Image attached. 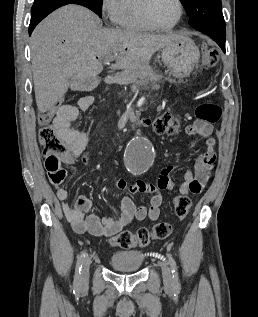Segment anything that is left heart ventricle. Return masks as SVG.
I'll use <instances>...</instances> for the list:
<instances>
[{"label": "left heart ventricle", "instance_id": "b2bd125f", "mask_svg": "<svg viewBox=\"0 0 258 317\" xmlns=\"http://www.w3.org/2000/svg\"><path fill=\"white\" fill-rule=\"evenodd\" d=\"M148 16L155 26H170L178 16L177 3L175 0H155L149 8Z\"/></svg>", "mask_w": 258, "mask_h": 317}]
</instances>
